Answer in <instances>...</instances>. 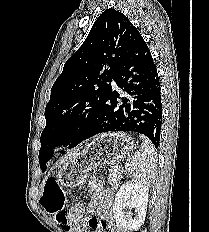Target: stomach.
Returning a JSON list of instances; mask_svg holds the SVG:
<instances>
[{
    "label": "stomach",
    "instance_id": "0dacf381",
    "mask_svg": "<svg viewBox=\"0 0 209 232\" xmlns=\"http://www.w3.org/2000/svg\"><path fill=\"white\" fill-rule=\"evenodd\" d=\"M133 149L134 142L125 133L99 135L59 169L58 182L65 187H75L86 180L92 169L114 164Z\"/></svg>",
    "mask_w": 209,
    "mask_h": 232
}]
</instances>
